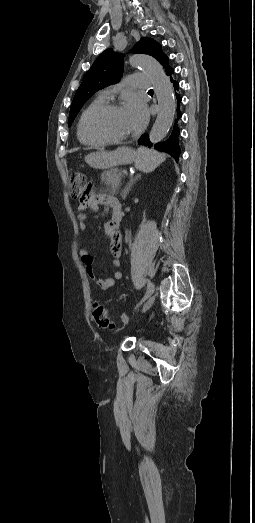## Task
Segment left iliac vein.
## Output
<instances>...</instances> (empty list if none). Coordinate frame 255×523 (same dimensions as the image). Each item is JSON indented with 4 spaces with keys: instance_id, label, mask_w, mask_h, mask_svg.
Segmentation results:
<instances>
[{
    "instance_id": "obj_1",
    "label": "left iliac vein",
    "mask_w": 255,
    "mask_h": 523,
    "mask_svg": "<svg viewBox=\"0 0 255 523\" xmlns=\"http://www.w3.org/2000/svg\"><path fill=\"white\" fill-rule=\"evenodd\" d=\"M148 287L149 288H154V284L149 281L148 282ZM154 301H155V295L154 294L150 295L149 298L147 299V301L143 305L142 312H145L148 309H150L152 307V305L154 304Z\"/></svg>"
}]
</instances>
